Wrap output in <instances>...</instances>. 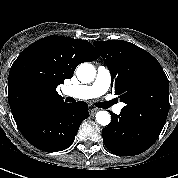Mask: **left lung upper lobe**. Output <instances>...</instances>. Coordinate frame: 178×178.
I'll return each mask as SVG.
<instances>
[{"instance_id": "5c2ea615", "label": "left lung upper lobe", "mask_w": 178, "mask_h": 178, "mask_svg": "<svg viewBox=\"0 0 178 178\" xmlns=\"http://www.w3.org/2000/svg\"><path fill=\"white\" fill-rule=\"evenodd\" d=\"M112 77V87L126 105L121 113L163 129L169 112V82L147 51L123 40L94 41Z\"/></svg>"}]
</instances>
